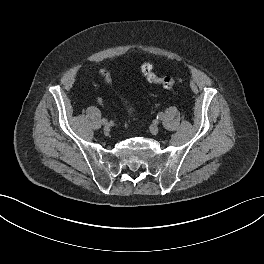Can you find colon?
Segmentation results:
<instances>
[{"label":"colon","instance_id":"colon-1","mask_svg":"<svg viewBox=\"0 0 264 264\" xmlns=\"http://www.w3.org/2000/svg\"><path fill=\"white\" fill-rule=\"evenodd\" d=\"M140 69H141L143 76L146 78V80L149 83L157 84L167 89L173 88L177 83V80L175 78H172L169 76H158L154 72V67L152 63L150 62H143L141 64ZM99 73L107 84H111L112 77L108 69L102 68L100 69Z\"/></svg>","mask_w":264,"mask_h":264}]
</instances>
